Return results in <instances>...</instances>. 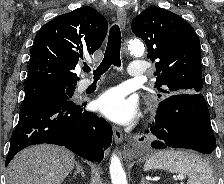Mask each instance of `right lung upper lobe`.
Segmentation results:
<instances>
[{
	"label": "right lung upper lobe",
	"instance_id": "cb5924a9",
	"mask_svg": "<svg viewBox=\"0 0 224 184\" xmlns=\"http://www.w3.org/2000/svg\"><path fill=\"white\" fill-rule=\"evenodd\" d=\"M107 20L92 7H81L46 23L36 34L25 85H76L78 60L100 48Z\"/></svg>",
	"mask_w": 224,
	"mask_h": 184
}]
</instances>
